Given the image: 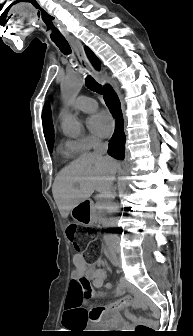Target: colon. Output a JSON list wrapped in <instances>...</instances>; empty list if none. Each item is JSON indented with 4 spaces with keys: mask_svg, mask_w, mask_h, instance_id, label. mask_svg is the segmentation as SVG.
Returning <instances> with one entry per match:
<instances>
[{
    "mask_svg": "<svg viewBox=\"0 0 193 336\" xmlns=\"http://www.w3.org/2000/svg\"><path fill=\"white\" fill-rule=\"evenodd\" d=\"M66 236L68 240L74 245L76 251L81 255L94 256L100 247V242L92 237H86L83 235V231L75 223H68L66 225ZM92 289L90 285H87L83 296L85 298L91 297ZM100 309V308H96ZM134 336H148L151 334L150 328L144 325H138L133 332Z\"/></svg>",
    "mask_w": 193,
    "mask_h": 336,
    "instance_id": "1",
    "label": "colon"
}]
</instances>
